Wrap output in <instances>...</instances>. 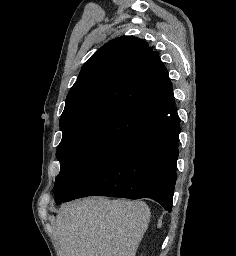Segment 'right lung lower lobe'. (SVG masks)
<instances>
[{
    "label": "right lung lower lobe",
    "mask_w": 236,
    "mask_h": 256,
    "mask_svg": "<svg viewBox=\"0 0 236 256\" xmlns=\"http://www.w3.org/2000/svg\"><path fill=\"white\" fill-rule=\"evenodd\" d=\"M180 124L175 106L149 120L62 201L86 196L151 198L171 211Z\"/></svg>",
    "instance_id": "right-lung-lower-lobe-1"
}]
</instances>
